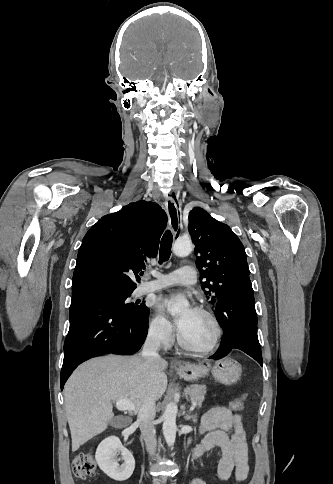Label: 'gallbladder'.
Returning <instances> with one entry per match:
<instances>
[{
    "instance_id": "gallbladder-1",
    "label": "gallbladder",
    "mask_w": 333,
    "mask_h": 484,
    "mask_svg": "<svg viewBox=\"0 0 333 484\" xmlns=\"http://www.w3.org/2000/svg\"><path fill=\"white\" fill-rule=\"evenodd\" d=\"M120 419L121 417L118 416V417H115L113 418L110 422H109V425L112 426V427H119L120 426Z\"/></svg>"
}]
</instances>
